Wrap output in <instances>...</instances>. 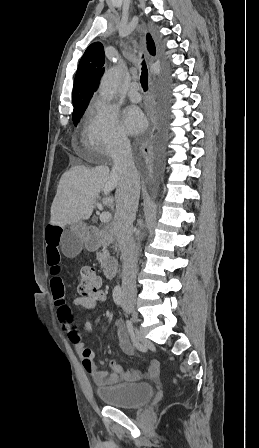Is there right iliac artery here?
Listing matches in <instances>:
<instances>
[{
  "label": "right iliac artery",
  "instance_id": "obj_1",
  "mask_svg": "<svg viewBox=\"0 0 259 448\" xmlns=\"http://www.w3.org/2000/svg\"><path fill=\"white\" fill-rule=\"evenodd\" d=\"M113 300L117 305H121L122 303V291L120 286H115L113 290Z\"/></svg>",
  "mask_w": 259,
  "mask_h": 448
}]
</instances>
